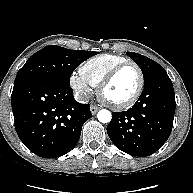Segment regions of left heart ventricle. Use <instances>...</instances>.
<instances>
[{"mask_svg":"<svg viewBox=\"0 0 193 193\" xmlns=\"http://www.w3.org/2000/svg\"><path fill=\"white\" fill-rule=\"evenodd\" d=\"M139 76L134 67L121 70L104 91V97L112 103L129 99L137 89Z\"/></svg>","mask_w":193,"mask_h":193,"instance_id":"obj_1","label":"left heart ventricle"}]
</instances>
